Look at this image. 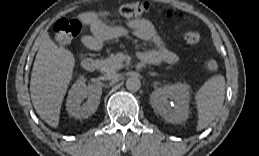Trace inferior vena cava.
<instances>
[{"instance_id": "1", "label": "inferior vena cava", "mask_w": 259, "mask_h": 156, "mask_svg": "<svg viewBox=\"0 0 259 156\" xmlns=\"http://www.w3.org/2000/svg\"><path fill=\"white\" fill-rule=\"evenodd\" d=\"M119 77V74L115 73V72H112V73H107L104 75V79L106 80H112V81H115L117 80Z\"/></svg>"}]
</instances>
